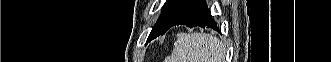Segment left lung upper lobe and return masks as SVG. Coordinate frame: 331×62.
<instances>
[{
    "label": "left lung upper lobe",
    "mask_w": 331,
    "mask_h": 62,
    "mask_svg": "<svg viewBox=\"0 0 331 62\" xmlns=\"http://www.w3.org/2000/svg\"><path fill=\"white\" fill-rule=\"evenodd\" d=\"M187 0H166L162 13L159 16L155 26L153 27L150 35L155 37L163 34V29L168 20L182 7ZM149 35V36H150ZM153 38V39H154ZM152 40V39H151ZM150 41V40H149Z\"/></svg>",
    "instance_id": "1"
}]
</instances>
